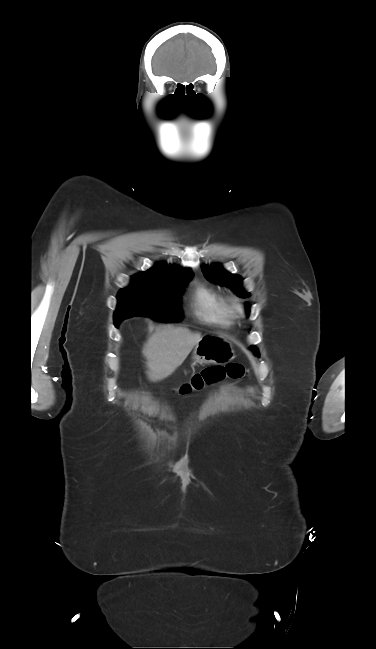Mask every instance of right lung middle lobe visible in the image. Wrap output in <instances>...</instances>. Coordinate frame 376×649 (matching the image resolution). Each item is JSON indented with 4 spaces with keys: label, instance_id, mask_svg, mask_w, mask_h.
Masks as SVG:
<instances>
[{
    "label": "right lung middle lobe",
    "instance_id": "obj_1",
    "mask_svg": "<svg viewBox=\"0 0 376 649\" xmlns=\"http://www.w3.org/2000/svg\"><path fill=\"white\" fill-rule=\"evenodd\" d=\"M192 277V272L164 277L134 275L131 285L118 294L115 325L125 318L139 315L163 322L180 321V295Z\"/></svg>",
    "mask_w": 376,
    "mask_h": 649
}]
</instances>
